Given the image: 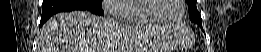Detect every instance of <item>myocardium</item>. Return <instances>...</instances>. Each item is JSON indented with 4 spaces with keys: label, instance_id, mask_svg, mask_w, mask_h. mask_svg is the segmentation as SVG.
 <instances>
[{
    "label": "myocardium",
    "instance_id": "f54148a6",
    "mask_svg": "<svg viewBox=\"0 0 261 52\" xmlns=\"http://www.w3.org/2000/svg\"><path fill=\"white\" fill-rule=\"evenodd\" d=\"M157 0H146L144 2V10L146 11L149 18L154 23H160V24H176L178 23L185 14V1L184 0H178V3L180 5V14L179 16L174 20H165L159 17L154 16L152 13L157 8L158 4L155 3Z\"/></svg>",
    "mask_w": 261,
    "mask_h": 52
}]
</instances>
